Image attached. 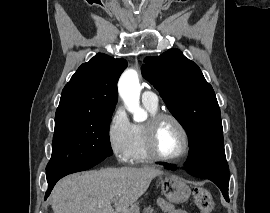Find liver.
<instances>
[{
    "label": "liver",
    "instance_id": "liver-1",
    "mask_svg": "<svg viewBox=\"0 0 270 213\" xmlns=\"http://www.w3.org/2000/svg\"><path fill=\"white\" fill-rule=\"evenodd\" d=\"M162 171L153 166L105 168L73 174L51 193L53 213H127ZM114 202L115 209L111 203Z\"/></svg>",
    "mask_w": 270,
    "mask_h": 213
}]
</instances>
